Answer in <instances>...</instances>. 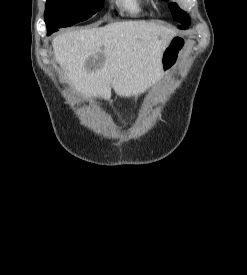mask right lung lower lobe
Listing matches in <instances>:
<instances>
[{
  "instance_id": "1",
  "label": "right lung lower lobe",
  "mask_w": 247,
  "mask_h": 275,
  "mask_svg": "<svg viewBox=\"0 0 247 275\" xmlns=\"http://www.w3.org/2000/svg\"><path fill=\"white\" fill-rule=\"evenodd\" d=\"M50 34H52V33H48V32H47V35H50Z\"/></svg>"
}]
</instances>
